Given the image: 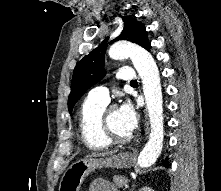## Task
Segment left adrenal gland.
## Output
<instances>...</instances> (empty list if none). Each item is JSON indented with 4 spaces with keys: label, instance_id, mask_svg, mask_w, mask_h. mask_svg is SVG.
Listing matches in <instances>:
<instances>
[{
    "label": "left adrenal gland",
    "instance_id": "obj_1",
    "mask_svg": "<svg viewBox=\"0 0 221 191\" xmlns=\"http://www.w3.org/2000/svg\"><path fill=\"white\" fill-rule=\"evenodd\" d=\"M134 187H135V185H132V189L130 191H132Z\"/></svg>",
    "mask_w": 221,
    "mask_h": 191
}]
</instances>
